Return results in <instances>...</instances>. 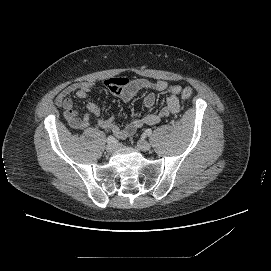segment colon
I'll list each match as a JSON object with an SVG mask.
<instances>
[{"label":"colon","instance_id":"obj_1","mask_svg":"<svg viewBox=\"0 0 271 271\" xmlns=\"http://www.w3.org/2000/svg\"><path fill=\"white\" fill-rule=\"evenodd\" d=\"M192 94H193V90L190 87H186L182 90L181 97L183 99H188L192 96Z\"/></svg>","mask_w":271,"mask_h":271}]
</instances>
